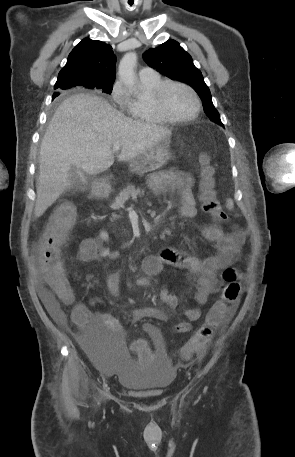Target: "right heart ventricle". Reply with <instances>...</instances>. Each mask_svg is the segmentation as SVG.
Returning a JSON list of instances; mask_svg holds the SVG:
<instances>
[{
    "label": "right heart ventricle",
    "mask_w": 295,
    "mask_h": 457,
    "mask_svg": "<svg viewBox=\"0 0 295 457\" xmlns=\"http://www.w3.org/2000/svg\"><path fill=\"white\" fill-rule=\"evenodd\" d=\"M163 81L159 75L149 79H140L142 87L147 92V96L131 99L129 113L134 120L147 124H162L166 122L156 112L152 102L153 92Z\"/></svg>",
    "instance_id": "right-heart-ventricle-1"
}]
</instances>
